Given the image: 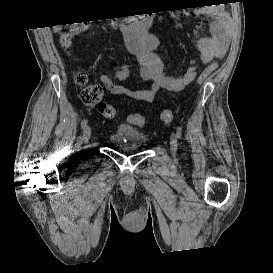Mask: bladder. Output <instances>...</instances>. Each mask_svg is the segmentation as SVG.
Here are the masks:
<instances>
[{
	"instance_id": "31cf9c89",
	"label": "bladder",
	"mask_w": 273,
	"mask_h": 273,
	"mask_svg": "<svg viewBox=\"0 0 273 273\" xmlns=\"http://www.w3.org/2000/svg\"><path fill=\"white\" fill-rule=\"evenodd\" d=\"M108 141L119 152L129 153L143 148L148 138L144 132L137 130L134 126L121 124L108 136Z\"/></svg>"
}]
</instances>
